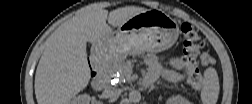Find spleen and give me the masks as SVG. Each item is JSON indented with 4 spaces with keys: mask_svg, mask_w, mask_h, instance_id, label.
Instances as JSON below:
<instances>
[{
    "mask_svg": "<svg viewBox=\"0 0 252 104\" xmlns=\"http://www.w3.org/2000/svg\"><path fill=\"white\" fill-rule=\"evenodd\" d=\"M219 78L217 71L209 67L204 71L203 88L201 90V100L204 104H215L219 95Z\"/></svg>",
    "mask_w": 252,
    "mask_h": 104,
    "instance_id": "1",
    "label": "spleen"
}]
</instances>
